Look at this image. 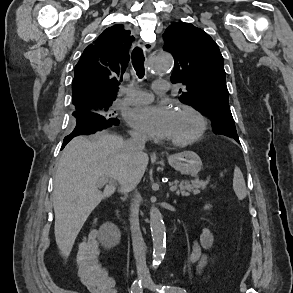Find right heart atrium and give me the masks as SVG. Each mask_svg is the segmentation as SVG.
Wrapping results in <instances>:
<instances>
[{
  "instance_id": "1",
  "label": "right heart atrium",
  "mask_w": 293,
  "mask_h": 293,
  "mask_svg": "<svg viewBox=\"0 0 293 293\" xmlns=\"http://www.w3.org/2000/svg\"><path fill=\"white\" fill-rule=\"evenodd\" d=\"M132 135L133 136H135V137H138V138H140V137H142L143 135H141L139 132H137V131H132Z\"/></svg>"
}]
</instances>
